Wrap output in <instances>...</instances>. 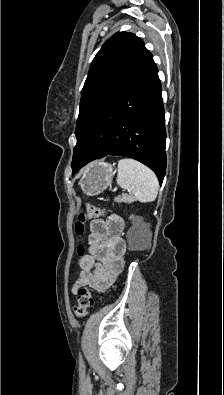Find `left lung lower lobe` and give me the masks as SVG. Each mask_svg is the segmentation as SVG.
I'll use <instances>...</instances> for the list:
<instances>
[{
  "label": "left lung lower lobe",
  "mask_w": 224,
  "mask_h": 395,
  "mask_svg": "<svg viewBox=\"0 0 224 395\" xmlns=\"http://www.w3.org/2000/svg\"><path fill=\"white\" fill-rule=\"evenodd\" d=\"M158 69L152 56L103 110L89 147L73 170L106 155L127 156L157 175L166 171L164 108Z\"/></svg>",
  "instance_id": "1"
}]
</instances>
